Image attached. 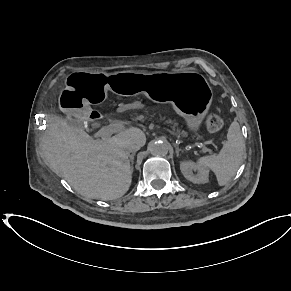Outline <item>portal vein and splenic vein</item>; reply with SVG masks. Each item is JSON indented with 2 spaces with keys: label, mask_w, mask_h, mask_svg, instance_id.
Returning a JSON list of instances; mask_svg holds the SVG:
<instances>
[{
  "label": "portal vein and splenic vein",
  "mask_w": 291,
  "mask_h": 291,
  "mask_svg": "<svg viewBox=\"0 0 291 291\" xmlns=\"http://www.w3.org/2000/svg\"><path fill=\"white\" fill-rule=\"evenodd\" d=\"M128 128L121 124V123H114V124H111V125H108V126H104L102 127L97 133H96V136L97 137H101L102 139H106L108 137H110L112 134L114 133H118V132H122V131H125L127 130ZM163 129H165L166 131H168L170 134L176 136V137H180L179 134H177L176 132L166 128V127H163ZM203 151L206 152L207 151V148L205 146H203Z\"/></svg>",
  "instance_id": "portal-vein-and-splenic-vein-1"
}]
</instances>
